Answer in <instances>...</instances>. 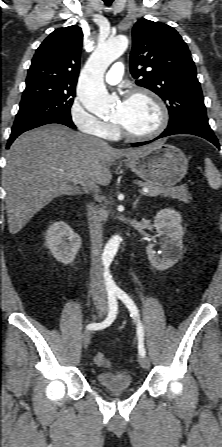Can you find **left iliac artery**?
I'll use <instances>...</instances> for the list:
<instances>
[{"mask_svg":"<svg viewBox=\"0 0 222 447\" xmlns=\"http://www.w3.org/2000/svg\"><path fill=\"white\" fill-rule=\"evenodd\" d=\"M114 293L129 309L131 316L138 318V324H137L138 349H139V354L141 356H145L146 351H145V347H144V327L139 320L138 308L135 305L134 301L130 298V296L123 290L117 289V290H115Z\"/></svg>","mask_w":222,"mask_h":447,"instance_id":"44dca946","label":"left iliac artery"}]
</instances>
